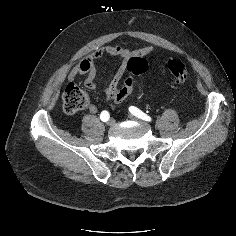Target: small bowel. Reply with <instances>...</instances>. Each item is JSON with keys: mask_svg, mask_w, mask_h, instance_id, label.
<instances>
[{"mask_svg": "<svg viewBox=\"0 0 236 236\" xmlns=\"http://www.w3.org/2000/svg\"><path fill=\"white\" fill-rule=\"evenodd\" d=\"M154 53L152 47H142L137 50H130L119 45H106L101 47L89 56L75 64L68 73V79L72 80L78 75H85V87L94 89L96 87L97 62L104 55L110 57H117L122 60L121 65L113 75L109 85L105 89V96L107 100H113L118 90V85L127 69V62L132 57H148ZM89 111L93 114L97 113L98 108L95 104L89 105Z\"/></svg>", "mask_w": 236, "mask_h": 236, "instance_id": "c3829d8e", "label": "small bowel"}]
</instances>
